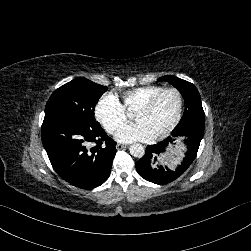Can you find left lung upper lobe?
Wrapping results in <instances>:
<instances>
[{
	"label": "left lung upper lobe",
	"instance_id": "obj_1",
	"mask_svg": "<svg viewBox=\"0 0 251 251\" xmlns=\"http://www.w3.org/2000/svg\"><path fill=\"white\" fill-rule=\"evenodd\" d=\"M157 81H166L172 84L180 91L185 100L184 116L175 128L191 127L204 129L205 114L197 88L192 83L171 75L163 76Z\"/></svg>",
	"mask_w": 251,
	"mask_h": 251
}]
</instances>
